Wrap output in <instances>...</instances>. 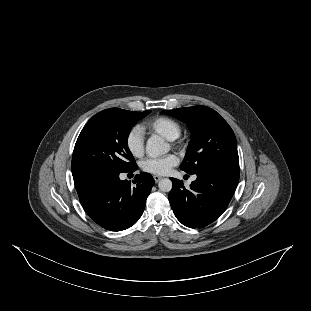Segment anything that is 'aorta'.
Masks as SVG:
<instances>
[{
    "label": "aorta",
    "instance_id": "obj_1",
    "mask_svg": "<svg viewBox=\"0 0 311 311\" xmlns=\"http://www.w3.org/2000/svg\"><path fill=\"white\" fill-rule=\"evenodd\" d=\"M146 151L149 156L154 158L164 156L169 152V144L159 136H152L147 140ZM158 187L163 192H169L172 189V181L164 178L159 182Z\"/></svg>",
    "mask_w": 311,
    "mask_h": 311
}]
</instances>
